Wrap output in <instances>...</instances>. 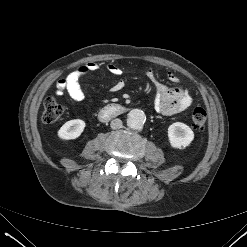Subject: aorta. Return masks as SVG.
<instances>
[{"instance_id": "obj_1", "label": "aorta", "mask_w": 247, "mask_h": 247, "mask_svg": "<svg viewBox=\"0 0 247 247\" xmlns=\"http://www.w3.org/2000/svg\"><path fill=\"white\" fill-rule=\"evenodd\" d=\"M145 121L146 115L140 109H132L127 115V125L132 129H141Z\"/></svg>"}]
</instances>
